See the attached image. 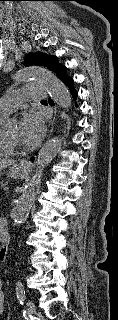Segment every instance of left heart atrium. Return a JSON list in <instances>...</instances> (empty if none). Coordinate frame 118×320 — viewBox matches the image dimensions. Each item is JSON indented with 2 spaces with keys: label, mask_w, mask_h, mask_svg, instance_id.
Segmentation results:
<instances>
[{
  "label": "left heart atrium",
  "mask_w": 118,
  "mask_h": 320,
  "mask_svg": "<svg viewBox=\"0 0 118 320\" xmlns=\"http://www.w3.org/2000/svg\"><path fill=\"white\" fill-rule=\"evenodd\" d=\"M45 133L43 116L38 111L26 112L19 125V139L27 145H35L41 141Z\"/></svg>",
  "instance_id": "39dd6f15"
}]
</instances>
